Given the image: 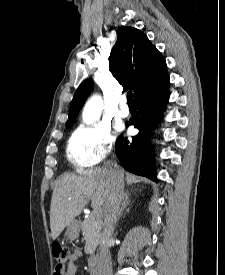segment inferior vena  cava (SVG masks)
Wrapping results in <instances>:
<instances>
[{"label":"inferior vena cava","mask_w":225,"mask_h":275,"mask_svg":"<svg viewBox=\"0 0 225 275\" xmlns=\"http://www.w3.org/2000/svg\"><path fill=\"white\" fill-rule=\"evenodd\" d=\"M124 181L117 165L111 172L110 188L105 204L104 229L101 238V251L96 275H112V262L108 242L118 220L119 207L124 199Z\"/></svg>","instance_id":"1"}]
</instances>
